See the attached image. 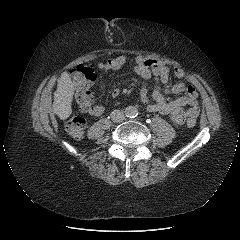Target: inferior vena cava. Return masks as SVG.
I'll return each mask as SVG.
<instances>
[{"label": "inferior vena cava", "instance_id": "obj_1", "mask_svg": "<svg viewBox=\"0 0 240 240\" xmlns=\"http://www.w3.org/2000/svg\"><path fill=\"white\" fill-rule=\"evenodd\" d=\"M125 115L122 111L120 110H114L111 112V120L115 123H119L124 121Z\"/></svg>", "mask_w": 240, "mask_h": 240}]
</instances>
